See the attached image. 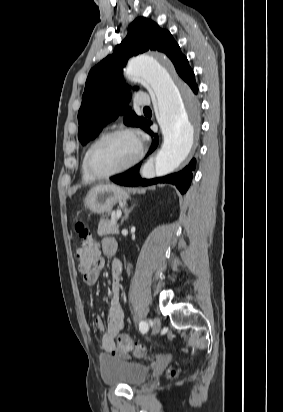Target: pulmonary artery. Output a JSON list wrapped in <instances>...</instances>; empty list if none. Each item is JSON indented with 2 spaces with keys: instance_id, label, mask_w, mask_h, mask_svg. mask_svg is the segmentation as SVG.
<instances>
[{
  "instance_id": "pulmonary-artery-1",
  "label": "pulmonary artery",
  "mask_w": 283,
  "mask_h": 412,
  "mask_svg": "<svg viewBox=\"0 0 283 412\" xmlns=\"http://www.w3.org/2000/svg\"><path fill=\"white\" fill-rule=\"evenodd\" d=\"M136 103L140 106L150 105V98L142 92L136 94Z\"/></svg>"
}]
</instances>
